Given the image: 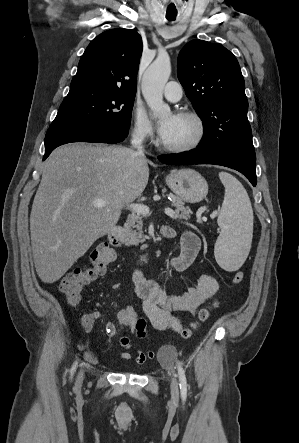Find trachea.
<instances>
[{
	"label": "trachea",
	"mask_w": 299,
	"mask_h": 443,
	"mask_svg": "<svg viewBox=\"0 0 299 443\" xmlns=\"http://www.w3.org/2000/svg\"><path fill=\"white\" fill-rule=\"evenodd\" d=\"M166 18H167L168 21H174L176 19V13L167 12L166 13Z\"/></svg>",
	"instance_id": "3493384b"
}]
</instances>
